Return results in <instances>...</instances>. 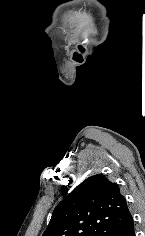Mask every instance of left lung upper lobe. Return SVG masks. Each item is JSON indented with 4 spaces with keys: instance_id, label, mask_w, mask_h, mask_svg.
Returning a JSON list of instances; mask_svg holds the SVG:
<instances>
[{
    "instance_id": "left-lung-upper-lobe-1",
    "label": "left lung upper lobe",
    "mask_w": 145,
    "mask_h": 236,
    "mask_svg": "<svg viewBox=\"0 0 145 236\" xmlns=\"http://www.w3.org/2000/svg\"><path fill=\"white\" fill-rule=\"evenodd\" d=\"M131 217L118 185L97 174L56 206L42 236H115Z\"/></svg>"
}]
</instances>
